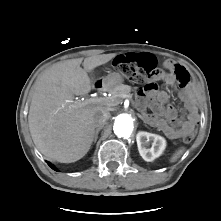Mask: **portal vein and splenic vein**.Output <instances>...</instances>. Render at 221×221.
I'll use <instances>...</instances> for the list:
<instances>
[{
	"instance_id": "portal-vein-and-splenic-vein-1",
	"label": "portal vein and splenic vein",
	"mask_w": 221,
	"mask_h": 221,
	"mask_svg": "<svg viewBox=\"0 0 221 221\" xmlns=\"http://www.w3.org/2000/svg\"><path fill=\"white\" fill-rule=\"evenodd\" d=\"M123 98H130V97L128 95H125V96H123ZM102 102H104V99H102V98H90L85 101V104L90 105V104H98V103H102Z\"/></svg>"
}]
</instances>
